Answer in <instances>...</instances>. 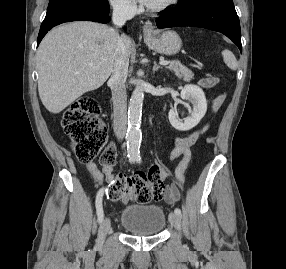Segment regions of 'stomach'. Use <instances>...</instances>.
Masks as SVG:
<instances>
[{"instance_id":"obj_1","label":"stomach","mask_w":286,"mask_h":269,"mask_svg":"<svg viewBox=\"0 0 286 269\" xmlns=\"http://www.w3.org/2000/svg\"><path fill=\"white\" fill-rule=\"evenodd\" d=\"M144 40L149 48L165 55H175L179 52L182 45L179 35L171 30L163 33L156 31L147 33Z\"/></svg>"}]
</instances>
